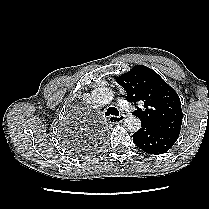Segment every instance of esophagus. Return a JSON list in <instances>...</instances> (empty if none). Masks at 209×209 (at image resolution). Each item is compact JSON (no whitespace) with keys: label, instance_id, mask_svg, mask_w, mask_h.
<instances>
[{"label":"esophagus","instance_id":"obj_1","mask_svg":"<svg viewBox=\"0 0 209 209\" xmlns=\"http://www.w3.org/2000/svg\"><path fill=\"white\" fill-rule=\"evenodd\" d=\"M126 118L125 114H121L119 116H110L109 121L112 123H120Z\"/></svg>","mask_w":209,"mask_h":209}]
</instances>
